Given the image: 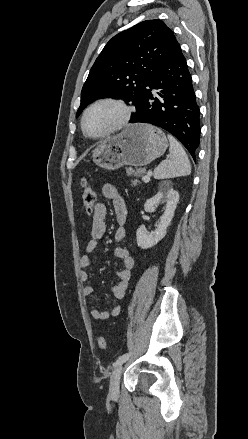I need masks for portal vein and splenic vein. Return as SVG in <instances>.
Wrapping results in <instances>:
<instances>
[{
  "label": "portal vein and splenic vein",
  "instance_id": "1",
  "mask_svg": "<svg viewBox=\"0 0 248 439\" xmlns=\"http://www.w3.org/2000/svg\"><path fill=\"white\" fill-rule=\"evenodd\" d=\"M151 174H152V172L149 171L148 174H147V176H144V177H143V181H144V182H149V180H150V175H151Z\"/></svg>",
  "mask_w": 248,
  "mask_h": 439
}]
</instances>
